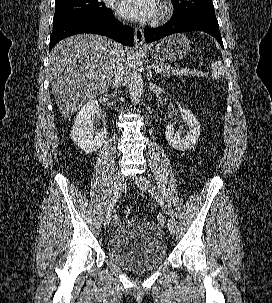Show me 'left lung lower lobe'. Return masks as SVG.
Instances as JSON below:
<instances>
[{
  "label": "left lung lower lobe",
  "instance_id": "obj_1",
  "mask_svg": "<svg viewBox=\"0 0 272 303\" xmlns=\"http://www.w3.org/2000/svg\"><path fill=\"white\" fill-rule=\"evenodd\" d=\"M203 31L212 35L223 47L222 38L219 31V25L215 14L210 15H190L180 18H172L167 24L158 28L144 29L146 42L150 43L165 36L186 32Z\"/></svg>",
  "mask_w": 272,
  "mask_h": 303
}]
</instances>
